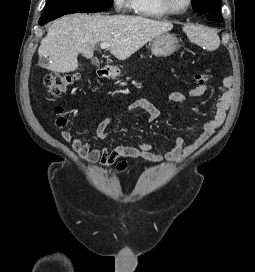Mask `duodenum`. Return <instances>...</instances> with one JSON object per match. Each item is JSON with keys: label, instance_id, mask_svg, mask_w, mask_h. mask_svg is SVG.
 Listing matches in <instances>:
<instances>
[{"label": "duodenum", "instance_id": "obj_1", "mask_svg": "<svg viewBox=\"0 0 255 272\" xmlns=\"http://www.w3.org/2000/svg\"><path fill=\"white\" fill-rule=\"evenodd\" d=\"M97 75L99 78L107 79L113 78L116 75V73L107 66H101L97 71Z\"/></svg>", "mask_w": 255, "mask_h": 272}]
</instances>
